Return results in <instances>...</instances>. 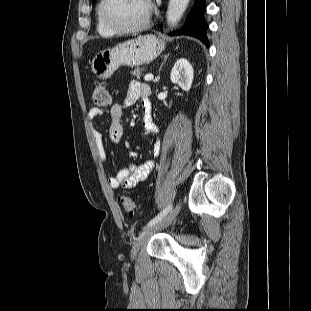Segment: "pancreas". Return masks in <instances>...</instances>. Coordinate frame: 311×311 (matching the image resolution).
Wrapping results in <instances>:
<instances>
[{"mask_svg":"<svg viewBox=\"0 0 311 311\" xmlns=\"http://www.w3.org/2000/svg\"><path fill=\"white\" fill-rule=\"evenodd\" d=\"M145 71V68H139V67H137V68H135L132 72H131V74L133 75V76H136L138 79L140 78V76L142 75V72H144Z\"/></svg>","mask_w":311,"mask_h":311,"instance_id":"1","label":"pancreas"}]
</instances>
